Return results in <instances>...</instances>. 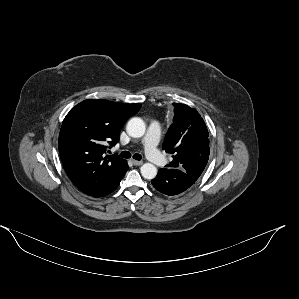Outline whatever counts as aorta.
<instances>
[{
  "instance_id": "obj_1",
  "label": "aorta",
  "mask_w": 299,
  "mask_h": 299,
  "mask_svg": "<svg viewBox=\"0 0 299 299\" xmlns=\"http://www.w3.org/2000/svg\"><path fill=\"white\" fill-rule=\"evenodd\" d=\"M127 133L134 138L142 137L145 134L146 126L139 117L131 118L126 127ZM141 174L145 179L151 180L157 175V168L151 163H145L141 166Z\"/></svg>"
}]
</instances>
